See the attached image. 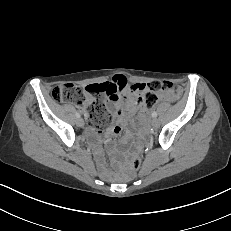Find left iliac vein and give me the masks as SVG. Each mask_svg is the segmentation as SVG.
<instances>
[{
	"mask_svg": "<svg viewBox=\"0 0 231 231\" xmlns=\"http://www.w3.org/2000/svg\"><path fill=\"white\" fill-rule=\"evenodd\" d=\"M151 126H152L154 129L159 128V127H160V122H159V120H158V119H153V120L151 121Z\"/></svg>",
	"mask_w": 231,
	"mask_h": 231,
	"instance_id": "left-iliac-vein-1",
	"label": "left iliac vein"
}]
</instances>
